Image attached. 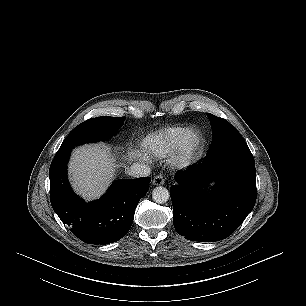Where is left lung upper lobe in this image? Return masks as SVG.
<instances>
[{
	"mask_svg": "<svg viewBox=\"0 0 306 306\" xmlns=\"http://www.w3.org/2000/svg\"><path fill=\"white\" fill-rule=\"evenodd\" d=\"M213 139L208 154L229 148L248 147L237 129L225 119L208 114Z\"/></svg>",
	"mask_w": 306,
	"mask_h": 306,
	"instance_id": "1",
	"label": "left lung upper lobe"
}]
</instances>
